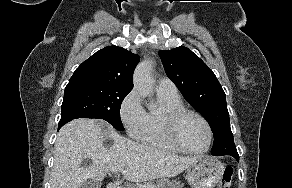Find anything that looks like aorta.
Returning a JSON list of instances; mask_svg holds the SVG:
<instances>
[{"instance_id":"1","label":"aorta","mask_w":292,"mask_h":188,"mask_svg":"<svg viewBox=\"0 0 292 188\" xmlns=\"http://www.w3.org/2000/svg\"><path fill=\"white\" fill-rule=\"evenodd\" d=\"M152 62L150 60L142 61L135 69L133 82L134 88L143 97L150 96L153 92V79H152ZM149 109L156 108V104L150 103Z\"/></svg>"}]
</instances>
